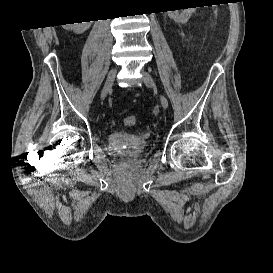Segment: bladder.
I'll return each instance as SVG.
<instances>
[{
    "mask_svg": "<svg viewBox=\"0 0 273 273\" xmlns=\"http://www.w3.org/2000/svg\"><path fill=\"white\" fill-rule=\"evenodd\" d=\"M148 140L131 132L113 130L108 134V148L125 159L138 158L145 150Z\"/></svg>",
    "mask_w": 273,
    "mask_h": 273,
    "instance_id": "31cf9c89",
    "label": "bladder"
}]
</instances>
